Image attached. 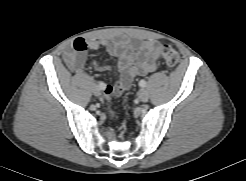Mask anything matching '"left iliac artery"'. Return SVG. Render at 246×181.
Listing matches in <instances>:
<instances>
[{"mask_svg":"<svg viewBox=\"0 0 246 181\" xmlns=\"http://www.w3.org/2000/svg\"><path fill=\"white\" fill-rule=\"evenodd\" d=\"M139 85H140L141 87H146L147 83H146L145 80H140V81H139Z\"/></svg>","mask_w":246,"mask_h":181,"instance_id":"obj_1","label":"left iliac artery"}]
</instances>
